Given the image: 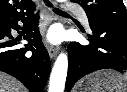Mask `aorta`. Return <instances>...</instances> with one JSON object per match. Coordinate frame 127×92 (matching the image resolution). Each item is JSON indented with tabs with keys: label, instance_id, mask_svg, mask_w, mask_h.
I'll list each match as a JSON object with an SVG mask.
<instances>
[{
	"label": "aorta",
	"instance_id": "762f6f07",
	"mask_svg": "<svg viewBox=\"0 0 127 92\" xmlns=\"http://www.w3.org/2000/svg\"><path fill=\"white\" fill-rule=\"evenodd\" d=\"M67 70H68L67 54L61 53L57 57L55 64L53 66L51 76H50L48 92H63L64 91L66 77H67Z\"/></svg>",
	"mask_w": 127,
	"mask_h": 92
}]
</instances>
